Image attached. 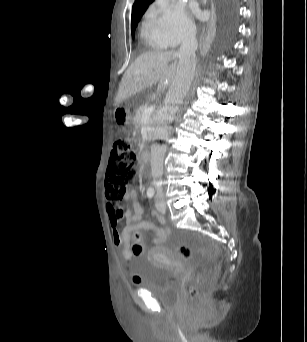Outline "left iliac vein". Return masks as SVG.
Listing matches in <instances>:
<instances>
[{"label":"left iliac vein","mask_w":307,"mask_h":342,"mask_svg":"<svg viewBox=\"0 0 307 342\" xmlns=\"http://www.w3.org/2000/svg\"><path fill=\"white\" fill-rule=\"evenodd\" d=\"M156 209L158 211H165L166 210V203L163 200H156Z\"/></svg>","instance_id":"4c4485c4"}]
</instances>
